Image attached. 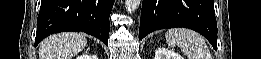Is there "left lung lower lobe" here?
<instances>
[{"label": "left lung lower lobe", "mask_w": 261, "mask_h": 59, "mask_svg": "<svg viewBox=\"0 0 261 59\" xmlns=\"http://www.w3.org/2000/svg\"><path fill=\"white\" fill-rule=\"evenodd\" d=\"M174 27L199 32L217 50L213 0H143L139 40L155 30Z\"/></svg>", "instance_id": "left-lung-lower-lobe-1"}]
</instances>
